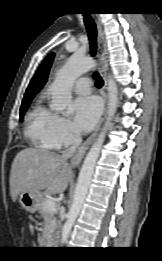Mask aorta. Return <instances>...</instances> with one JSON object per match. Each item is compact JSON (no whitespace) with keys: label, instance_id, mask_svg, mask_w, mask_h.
<instances>
[{"label":"aorta","instance_id":"762f6f07","mask_svg":"<svg viewBox=\"0 0 162 261\" xmlns=\"http://www.w3.org/2000/svg\"><path fill=\"white\" fill-rule=\"evenodd\" d=\"M95 67V61L90 57H84L77 53L73 54L66 64L58 71L57 76L50 87L51 109L57 112L71 114L72 111L65 112L72 101V87L74 81L83 73ZM118 107V86L111 76L108 77V107L107 117L104 127L101 129L88 154L86 155L80 170L73 202L67 215V220L62 227L61 244L67 242L71 229L77 219L94 173L96 162L100 155L101 147L104 143L106 131L111 123V119Z\"/></svg>","mask_w":162,"mask_h":261}]
</instances>
